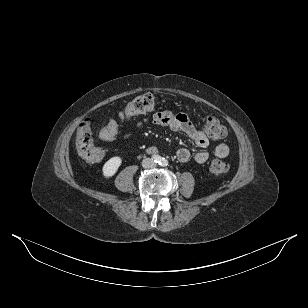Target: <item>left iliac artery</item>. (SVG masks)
I'll return each instance as SVG.
<instances>
[{"instance_id": "44dca946", "label": "left iliac artery", "mask_w": 308, "mask_h": 308, "mask_svg": "<svg viewBox=\"0 0 308 308\" xmlns=\"http://www.w3.org/2000/svg\"><path fill=\"white\" fill-rule=\"evenodd\" d=\"M162 165H166V160L162 159Z\"/></svg>"}]
</instances>
